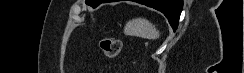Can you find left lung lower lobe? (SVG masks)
<instances>
[{
  "instance_id": "1",
  "label": "left lung lower lobe",
  "mask_w": 244,
  "mask_h": 73,
  "mask_svg": "<svg viewBox=\"0 0 244 73\" xmlns=\"http://www.w3.org/2000/svg\"><path fill=\"white\" fill-rule=\"evenodd\" d=\"M148 7H152L162 12L174 30L177 29L179 17L183 7V0H133ZM103 2H112V0H101Z\"/></svg>"
}]
</instances>
